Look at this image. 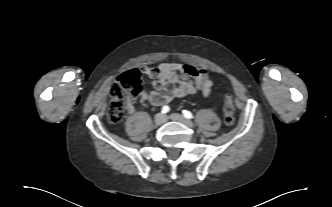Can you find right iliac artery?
Here are the masks:
<instances>
[{
  "label": "right iliac artery",
  "mask_w": 332,
  "mask_h": 207,
  "mask_svg": "<svg viewBox=\"0 0 332 207\" xmlns=\"http://www.w3.org/2000/svg\"><path fill=\"white\" fill-rule=\"evenodd\" d=\"M169 110H170L169 106L166 105V106H163V107H162V111H161V112H162L163 114H166V113L169 112Z\"/></svg>",
  "instance_id": "82829eb1"
}]
</instances>
